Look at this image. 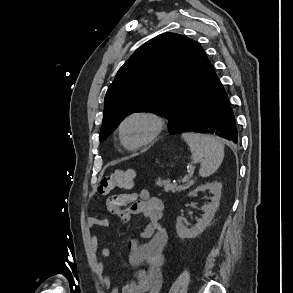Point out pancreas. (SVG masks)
I'll return each mask as SVG.
<instances>
[{
	"mask_svg": "<svg viewBox=\"0 0 293 293\" xmlns=\"http://www.w3.org/2000/svg\"><path fill=\"white\" fill-rule=\"evenodd\" d=\"M157 185L159 187H163L165 192H173V193L184 191V190L188 189L190 186V185L173 184V183H171V181L169 179H167V180L159 179L157 181Z\"/></svg>",
	"mask_w": 293,
	"mask_h": 293,
	"instance_id": "obj_1",
	"label": "pancreas"
}]
</instances>
